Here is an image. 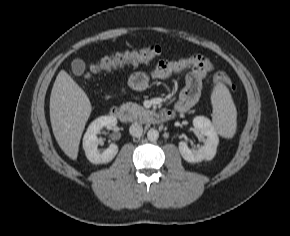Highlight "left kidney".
Masks as SVG:
<instances>
[{"label":"left kidney","mask_w":290,"mask_h":236,"mask_svg":"<svg viewBox=\"0 0 290 236\" xmlns=\"http://www.w3.org/2000/svg\"><path fill=\"white\" fill-rule=\"evenodd\" d=\"M193 125L207 138L204 145L198 150H191L184 141L179 142V151L183 159L190 163L212 160L219 143V138L213 124L208 118L197 116L193 119Z\"/></svg>","instance_id":"obj_1"}]
</instances>
